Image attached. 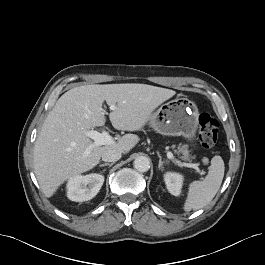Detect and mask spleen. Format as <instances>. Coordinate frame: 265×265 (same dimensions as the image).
I'll use <instances>...</instances> for the list:
<instances>
[{
    "instance_id": "1",
    "label": "spleen",
    "mask_w": 265,
    "mask_h": 265,
    "mask_svg": "<svg viewBox=\"0 0 265 265\" xmlns=\"http://www.w3.org/2000/svg\"><path fill=\"white\" fill-rule=\"evenodd\" d=\"M224 171L225 166L223 159L220 156H214L211 159V165L205 179L190 183L183 209L189 212L208 205L221 186Z\"/></svg>"
}]
</instances>
